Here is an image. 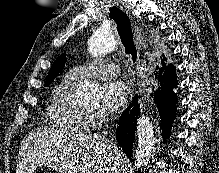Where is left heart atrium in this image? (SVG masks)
Segmentation results:
<instances>
[{
    "label": "left heart atrium",
    "mask_w": 219,
    "mask_h": 173,
    "mask_svg": "<svg viewBox=\"0 0 219 173\" xmlns=\"http://www.w3.org/2000/svg\"><path fill=\"white\" fill-rule=\"evenodd\" d=\"M129 96V89L125 82L113 80L105 84L102 104L108 111H116L121 108Z\"/></svg>",
    "instance_id": "obj_1"
}]
</instances>
